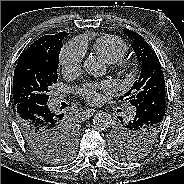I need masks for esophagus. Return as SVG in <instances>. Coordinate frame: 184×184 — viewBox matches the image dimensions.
I'll return each mask as SVG.
<instances>
[{"mask_svg":"<svg viewBox=\"0 0 184 184\" xmlns=\"http://www.w3.org/2000/svg\"><path fill=\"white\" fill-rule=\"evenodd\" d=\"M96 111L94 109H87L84 113L87 117L92 116Z\"/></svg>","mask_w":184,"mask_h":184,"instance_id":"obj_1","label":"esophagus"}]
</instances>
